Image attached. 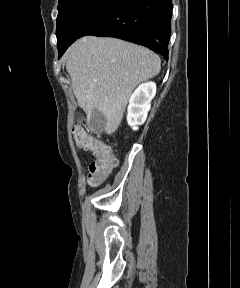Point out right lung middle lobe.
Returning <instances> with one entry per match:
<instances>
[{
	"label": "right lung middle lobe",
	"mask_w": 240,
	"mask_h": 288,
	"mask_svg": "<svg viewBox=\"0 0 240 288\" xmlns=\"http://www.w3.org/2000/svg\"><path fill=\"white\" fill-rule=\"evenodd\" d=\"M113 0H59L57 17V47L59 54L80 38L84 29Z\"/></svg>",
	"instance_id": "right-lung-middle-lobe-1"
}]
</instances>
